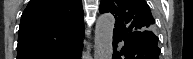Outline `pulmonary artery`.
<instances>
[{
    "mask_svg": "<svg viewBox=\"0 0 193 59\" xmlns=\"http://www.w3.org/2000/svg\"><path fill=\"white\" fill-rule=\"evenodd\" d=\"M118 45H119V46H122V45H123V43H122V42H119V43H118Z\"/></svg>",
    "mask_w": 193,
    "mask_h": 59,
    "instance_id": "e3ab8cb5",
    "label": "pulmonary artery"
}]
</instances>
